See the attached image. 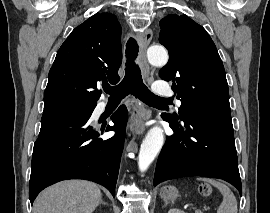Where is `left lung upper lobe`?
<instances>
[{
  "mask_svg": "<svg viewBox=\"0 0 270 213\" xmlns=\"http://www.w3.org/2000/svg\"><path fill=\"white\" fill-rule=\"evenodd\" d=\"M159 42L169 52L161 79L172 80L181 100L178 120L192 114L231 116L225 70L216 46L206 30L186 15H168L160 21Z\"/></svg>",
  "mask_w": 270,
  "mask_h": 213,
  "instance_id": "5c2ea615",
  "label": "left lung upper lobe"
}]
</instances>
